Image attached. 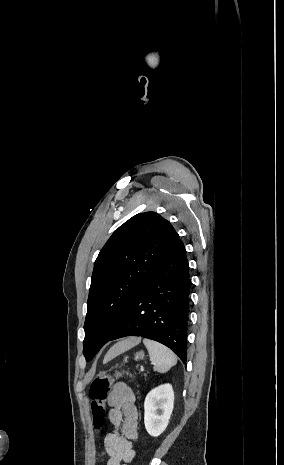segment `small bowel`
<instances>
[{"mask_svg":"<svg viewBox=\"0 0 284 465\" xmlns=\"http://www.w3.org/2000/svg\"><path fill=\"white\" fill-rule=\"evenodd\" d=\"M111 406L108 421L111 427L103 440L108 455L106 465H126L135 455L132 442L138 439V410L132 389L124 382L114 385L108 397Z\"/></svg>","mask_w":284,"mask_h":465,"instance_id":"c3829d8e","label":"small bowel"}]
</instances>
